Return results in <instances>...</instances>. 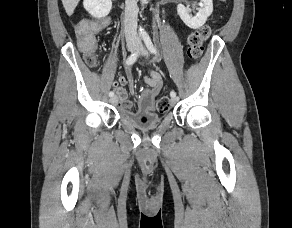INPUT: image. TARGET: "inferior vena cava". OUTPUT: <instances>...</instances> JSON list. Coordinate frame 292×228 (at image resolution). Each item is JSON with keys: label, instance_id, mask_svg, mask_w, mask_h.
I'll return each instance as SVG.
<instances>
[{"label": "inferior vena cava", "instance_id": "inferior-vena-cava-1", "mask_svg": "<svg viewBox=\"0 0 292 228\" xmlns=\"http://www.w3.org/2000/svg\"><path fill=\"white\" fill-rule=\"evenodd\" d=\"M138 0H125V37L127 41H138L137 36V8Z\"/></svg>", "mask_w": 292, "mask_h": 228}]
</instances>
